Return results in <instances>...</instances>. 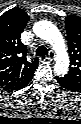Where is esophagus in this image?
<instances>
[{"instance_id":"1","label":"esophagus","mask_w":81,"mask_h":124,"mask_svg":"<svg viewBox=\"0 0 81 124\" xmlns=\"http://www.w3.org/2000/svg\"><path fill=\"white\" fill-rule=\"evenodd\" d=\"M54 57H55V53L53 51H50L47 56V59L51 61V60H53Z\"/></svg>"}]
</instances>
